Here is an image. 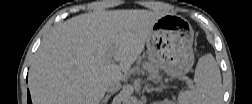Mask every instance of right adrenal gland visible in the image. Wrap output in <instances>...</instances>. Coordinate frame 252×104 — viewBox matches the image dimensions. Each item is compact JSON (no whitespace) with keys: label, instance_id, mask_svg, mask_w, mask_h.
Instances as JSON below:
<instances>
[{"label":"right adrenal gland","instance_id":"1","mask_svg":"<svg viewBox=\"0 0 252 104\" xmlns=\"http://www.w3.org/2000/svg\"><path fill=\"white\" fill-rule=\"evenodd\" d=\"M114 93H110V94H107L103 100L101 101L100 104H107L108 103V100L110 99V97L113 95Z\"/></svg>","mask_w":252,"mask_h":104}]
</instances>
